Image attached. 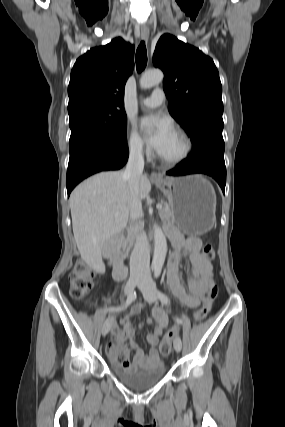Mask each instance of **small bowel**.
Returning a JSON list of instances; mask_svg holds the SVG:
<instances>
[{"instance_id": "small-bowel-1", "label": "small bowel", "mask_w": 285, "mask_h": 427, "mask_svg": "<svg viewBox=\"0 0 285 427\" xmlns=\"http://www.w3.org/2000/svg\"><path fill=\"white\" fill-rule=\"evenodd\" d=\"M172 241L175 252L171 255L168 263L167 284L172 295L183 305L189 308H196L205 299L206 294L213 285V268L211 262L200 254L201 240L197 237L183 238L178 232L172 230ZM186 253L192 265V277L189 279L187 288L179 277V264L182 255ZM144 303L140 302L132 306L130 313L120 319L119 325L114 323L112 334L115 342L108 345L110 360L116 366L129 369L139 367H156L160 365V357L156 349L159 338L169 327V311L160 307H155L152 318L146 320L147 324L156 323L154 331L146 335V341L151 346L146 354L136 344L135 329L131 323V317L139 314L144 308ZM111 307V310H116ZM128 340L130 347L134 350L133 358H129V353L124 349V341ZM124 351V362L119 363L117 356Z\"/></svg>"}]
</instances>
